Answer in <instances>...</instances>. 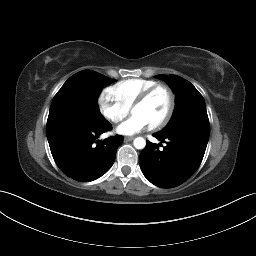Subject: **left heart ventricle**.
Segmentation results:
<instances>
[{
	"label": "left heart ventricle",
	"instance_id": "obj_1",
	"mask_svg": "<svg viewBox=\"0 0 256 256\" xmlns=\"http://www.w3.org/2000/svg\"><path fill=\"white\" fill-rule=\"evenodd\" d=\"M169 106V97L164 90L155 92L149 100L132 109V114L142 115L149 124L158 122L166 114Z\"/></svg>",
	"mask_w": 256,
	"mask_h": 256
}]
</instances>
